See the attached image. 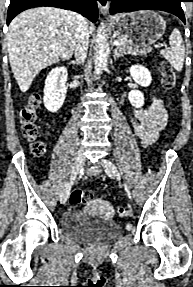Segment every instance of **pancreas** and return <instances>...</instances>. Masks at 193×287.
<instances>
[{
    "instance_id": "cf45deb5",
    "label": "pancreas",
    "mask_w": 193,
    "mask_h": 287,
    "mask_svg": "<svg viewBox=\"0 0 193 287\" xmlns=\"http://www.w3.org/2000/svg\"><path fill=\"white\" fill-rule=\"evenodd\" d=\"M117 41L120 43V46L118 47V49L121 53L127 52V53L132 54V55L143 56V55H146L150 51L148 49L141 50L138 47H133V46L129 45L123 39H118Z\"/></svg>"
}]
</instances>
